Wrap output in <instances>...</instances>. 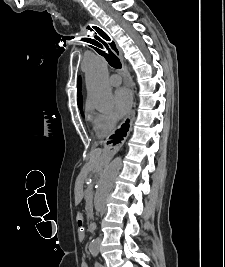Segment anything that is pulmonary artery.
Masks as SVG:
<instances>
[{
    "label": "pulmonary artery",
    "instance_id": "obj_1",
    "mask_svg": "<svg viewBox=\"0 0 225 267\" xmlns=\"http://www.w3.org/2000/svg\"><path fill=\"white\" fill-rule=\"evenodd\" d=\"M109 83L112 86H118L121 83V77L117 74H112L109 77Z\"/></svg>",
    "mask_w": 225,
    "mask_h": 267
}]
</instances>
